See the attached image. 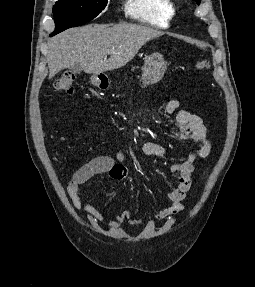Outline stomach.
I'll return each mask as SVG.
<instances>
[{
    "instance_id": "1",
    "label": "stomach",
    "mask_w": 255,
    "mask_h": 287,
    "mask_svg": "<svg viewBox=\"0 0 255 287\" xmlns=\"http://www.w3.org/2000/svg\"><path fill=\"white\" fill-rule=\"evenodd\" d=\"M165 72L166 62L161 54H152V56H147V58H145V66L141 78L144 88H146V86H150V84H157V82H160ZM91 84H93V86H99V78L97 74L92 76Z\"/></svg>"
}]
</instances>
